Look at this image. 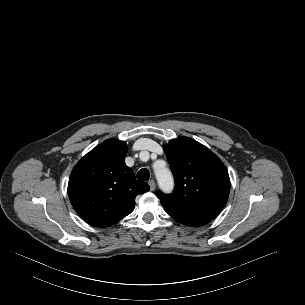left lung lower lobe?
I'll return each instance as SVG.
<instances>
[{
  "label": "left lung lower lobe",
  "mask_w": 305,
  "mask_h": 305,
  "mask_svg": "<svg viewBox=\"0 0 305 305\" xmlns=\"http://www.w3.org/2000/svg\"><path fill=\"white\" fill-rule=\"evenodd\" d=\"M175 220L188 226H200L208 223L207 221L191 220V219H175Z\"/></svg>",
  "instance_id": "1"
}]
</instances>
